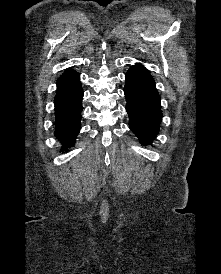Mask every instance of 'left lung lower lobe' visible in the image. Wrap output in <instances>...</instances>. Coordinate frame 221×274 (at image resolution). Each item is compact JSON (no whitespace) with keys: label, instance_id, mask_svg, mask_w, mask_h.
<instances>
[{"label":"left lung lower lobe","instance_id":"1","mask_svg":"<svg viewBox=\"0 0 221 274\" xmlns=\"http://www.w3.org/2000/svg\"><path fill=\"white\" fill-rule=\"evenodd\" d=\"M126 110L129 127L143 144L151 143L162 119L160 96L155 81L141 64L133 65L125 76Z\"/></svg>","mask_w":221,"mask_h":274}]
</instances>
